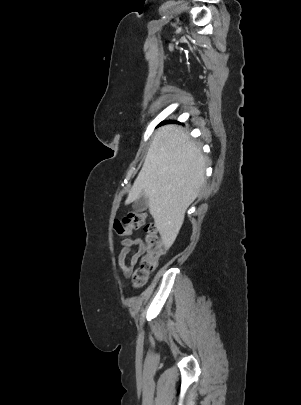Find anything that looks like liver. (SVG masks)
<instances>
[{"mask_svg": "<svg viewBox=\"0 0 301 405\" xmlns=\"http://www.w3.org/2000/svg\"><path fill=\"white\" fill-rule=\"evenodd\" d=\"M206 159L181 126L159 128L150 143L144 164L125 204L141 195L166 248L171 247L185 213L205 182Z\"/></svg>", "mask_w": 301, "mask_h": 405, "instance_id": "1", "label": "liver"}]
</instances>
